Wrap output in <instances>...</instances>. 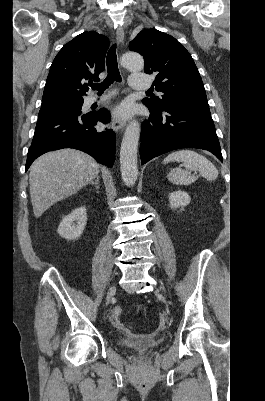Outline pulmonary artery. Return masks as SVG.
<instances>
[{"mask_svg":"<svg viewBox=\"0 0 265 401\" xmlns=\"http://www.w3.org/2000/svg\"><path fill=\"white\" fill-rule=\"evenodd\" d=\"M131 90H148L149 89V76L142 75L141 72H134L129 78ZM112 94L101 96L100 98L90 97L91 102H103L108 100Z\"/></svg>","mask_w":265,"mask_h":401,"instance_id":"pulmonary-artery-1","label":"pulmonary artery"}]
</instances>
